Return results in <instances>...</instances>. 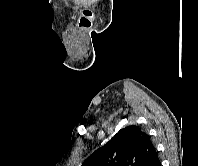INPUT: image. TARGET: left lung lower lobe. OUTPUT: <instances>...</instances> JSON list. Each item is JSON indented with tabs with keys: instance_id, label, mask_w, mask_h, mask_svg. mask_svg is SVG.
I'll list each match as a JSON object with an SVG mask.
<instances>
[{
	"instance_id": "0a47b994",
	"label": "left lung lower lobe",
	"mask_w": 198,
	"mask_h": 166,
	"mask_svg": "<svg viewBox=\"0 0 198 166\" xmlns=\"http://www.w3.org/2000/svg\"><path fill=\"white\" fill-rule=\"evenodd\" d=\"M150 166H162L158 155L156 156V158L154 159V161L152 162Z\"/></svg>"
}]
</instances>
